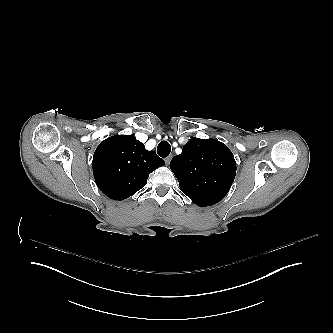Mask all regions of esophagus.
<instances>
[{"label":"esophagus","mask_w":333,"mask_h":333,"mask_svg":"<svg viewBox=\"0 0 333 333\" xmlns=\"http://www.w3.org/2000/svg\"><path fill=\"white\" fill-rule=\"evenodd\" d=\"M171 158H172V156H168L167 158H165L166 164H169V162L171 161Z\"/></svg>","instance_id":"obj_1"}]
</instances>
